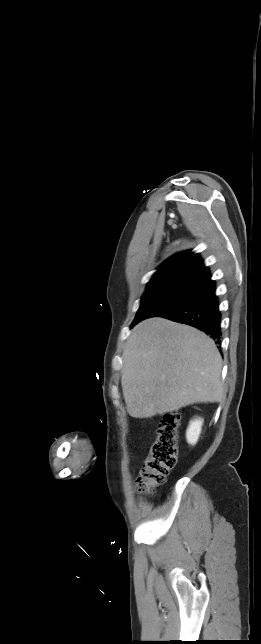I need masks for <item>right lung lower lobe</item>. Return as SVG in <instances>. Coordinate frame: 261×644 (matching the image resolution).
Instances as JSON below:
<instances>
[{
	"mask_svg": "<svg viewBox=\"0 0 261 644\" xmlns=\"http://www.w3.org/2000/svg\"><path fill=\"white\" fill-rule=\"evenodd\" d=\"M215 295V282L207 280L187 301L161 315L175 322L193 326L220 344V311Z\"/></svg>",
	"mask_w": 261,
	"mask_h": 644,
	"instance_id": "right-lung-lower-lobe-1",
	"label": "right lung lower lobe"
}]
</instances>
